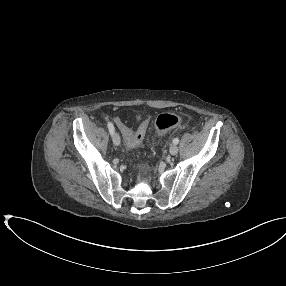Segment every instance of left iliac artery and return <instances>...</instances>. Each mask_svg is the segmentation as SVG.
Returning <instances> with one entry per match:
<instances>
[{
  "mask_svg": "<svg viewBox=\"0 0 286 286\" xmlns=\"http://www.w3.org/2000/svg\"><path fill=\"white\" fill-rule=\"evenodd\" d=\"M173 143L174 144H178L179 143V138H174Z\"/></svg>",
  "mask_w": 286,
  "mask_h": 286,
  "instance_id": "1",
  "label": "left iliac artery"
}]
</instances>
